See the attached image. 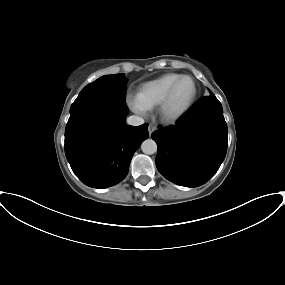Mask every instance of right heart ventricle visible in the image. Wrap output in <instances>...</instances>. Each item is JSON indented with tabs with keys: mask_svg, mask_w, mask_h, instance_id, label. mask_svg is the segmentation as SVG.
I'll use <instances>...</instances> for the list:
<instances>
[{
	"mask_svg": "<svg viewBox=\"0 0 285 285\" xmlns=\"http://www.w3.org/2000/svg\"><path fill=\"white\" fill-rule=\"evenodd\" d=\"M181 74L167 73L143 83L135 95V103L143 110H150L160 104L169 87Z\"/></svg>",
	"mask_w": 285,
	"mask_h": 285,
	"instance_id": "e07e8e85",
	"label": "right heart ventricle"
}]
</instances>
